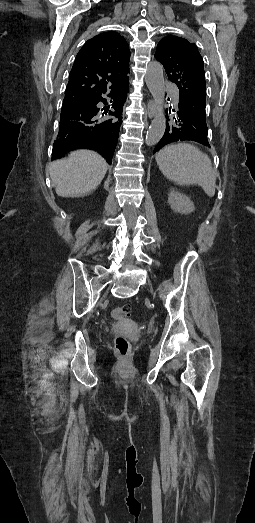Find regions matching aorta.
<instances>
[{"instance_id": "aorta-1", "label": "aorta", "mask_w": 255, "mask_h": 523, "mask_svg": "<svg viewBox=\"0 0 255 523\" xmlns=\"http://www.w3.org/2000/svg\"><path fill=\"white\" fill-rule=\"evenodd\" d=\"M145 81L152 97L159 106V111L154 116L145 138L146 145L153 146L160 141L166 128V118L163 112L165 83L163 66L159 62L155 61L149 63Z\"/></svg>"}]
</instances>
